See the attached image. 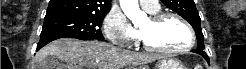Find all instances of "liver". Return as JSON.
<instances>
[{
    "label": "liver",
    "instance_id": "6515ba94",
    "mask_svg": "<svg viewBox=\"0 0 246 69\" xmlns=\"http://www.w3.org/2000/svg\"><path fill=\"white\" fill-rule=\"evenodd\" d=\"M53 63L66 62L67 69H121L127 65L138 66L158 59L152 54L134 53L99 41H79L61 38L42 48L36 55V69L46 68V58ZM57 59V60H56Z\"/></svg>",
    "mask_w": 246,
    "mask_h": 69
}]
</instances>
